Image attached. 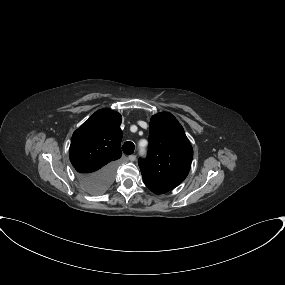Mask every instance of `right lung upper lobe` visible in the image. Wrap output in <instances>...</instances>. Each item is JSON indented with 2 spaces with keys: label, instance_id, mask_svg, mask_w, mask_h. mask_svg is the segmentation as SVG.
Instances as JSON below:
<instances>
[{
  "label": "right lung upper lobe",
  "instance_id": "cb5924a9",
  "mask_svg": "<svg viewBox=\"0 0 285 285\" xmlns=\"http://www.w3.org/2000/svg\"><path fill=\"white\" fill-rule=\"evenodd\" d=\"M121 115L111 109L96 111L72 136L70 161L80 174H91L116 162L122 152Z\"/></svg>",
  "mask_w": 285,
  "mask_h": 285
}]
</instances>
